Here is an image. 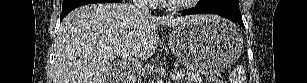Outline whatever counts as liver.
<instances>
[{"instance_id": "obj_1", "label": "liver", "mask_w": 307, "mask_h": 83, "mask_svg": "<svg viewBox=\"0 0 307 83\" xmlns=\"http://www.w3.org/2000/svg\"><path fill=\"white\" fill-rule=\"evenodd\" d=\"M203 16L210 15L145 16L131 4L123 3L80 6L60 25L54 49L53 83H105L112 68L105 50H121L129 61L146 60L158 46L159 25L178 26Z\"/></svg>"}]
</instances>
